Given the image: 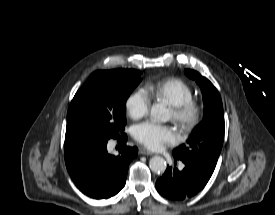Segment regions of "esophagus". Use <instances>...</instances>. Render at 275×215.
I'll list each match as a JSON object with an SVG mask.
<instances>
[{
    "label": "esophagus",
    "instance_id": "34e87169",
    "mask_svg": "<svg viewBox=\"0 0 275 215\" xmlns=\"http://www.w3.org/2000/svg\"><path fill=\"white\" fill-rule=\"evenodd\" d=\"M139 153L142 154V155H152L153 154L150 150H148L144 147H141L139 149Z\"/></svg>",
    "mask_w": 275,
    "mask_h": 215
}]
</instances>
